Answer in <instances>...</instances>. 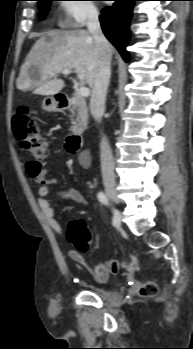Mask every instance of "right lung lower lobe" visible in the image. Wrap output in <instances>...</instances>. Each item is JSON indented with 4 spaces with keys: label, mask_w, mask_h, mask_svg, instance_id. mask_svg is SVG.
<instances>
[{
    "label": "right lung lower lobe",
    "mask_w": 193,
    "mask_h": 349,
    "mask_svg": "<svg viewBox=\"0 0 193 349\" xmlns=\"http://www.w3.org/2000/svg\"><path fill=\"white\" fill-rule=\"evenodd\" d=\"M135 1L137 0H115L113 6L104 8L100 15L104 34L126 61L129 54L125 47L128 43L129 24Z\"/></svg>",
    "instance_id": "1"
}]
</instances>
